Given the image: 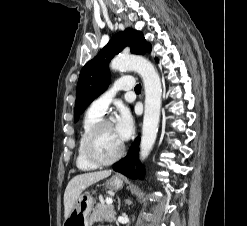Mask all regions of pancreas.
I'll return each instance as SVG.
<instances>
[{
  "label": "pancreas",
  "mask_w": 247,
  "mask_h": 226,
  "mask_svg": "<svg viewBox=\"0 0 247 226\" xmlns=\"http://www.w3.org/2000/svg\"><path fill=\"white\" fill-rule=\"evenodd\" d=\"M114 220H115V212L113 206L105 205L102 202L97 204L96 209L93 211V213L90 216V222H95V221L112 222Z\"/></svg>",
  "instance_id": "obj_1"
}]
</instances>
